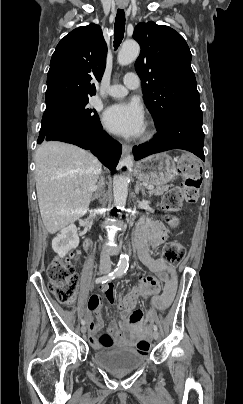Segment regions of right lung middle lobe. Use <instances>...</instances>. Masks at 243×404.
Segmentation results:
<instances>
[{
    "mask_svg": "<svg viewBox=\"0 0 243 404\" xmlns=\"http://www.w3.org/2000/svg\"><path fill=\"white\" fill-rule=\"evenodd\" d=\"M89 97L60 99L46 104L43 114L38 143H42L46 135L59 124L78 122L100 125L97 112L87 106Z\"/></svg>",
    "mask_w": 243,
    "mask_h": 404,
    "instance_id": "obj_1",
    "label": "right lung middle lobe"
}]
</instances>
